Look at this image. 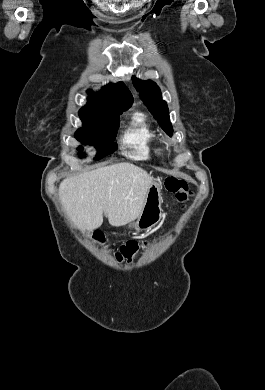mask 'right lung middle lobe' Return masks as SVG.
Returning <instances> with one entry per match:
<instances>
[{
    "mask_svg": "<svg viewBox=\"0 0 265 390\" xmlns=\"http://www.w3.org/2000/svg\"><path fill=\"white\" fill-rule=\"evenodd\" d=\"M83 127L79 128L75 137L77 140L94 145L97 148L96 160H99L117 150L114 143L117 129L119 128V117L109 116L104 113L81 110L79 111ZM83 150L80 146L78 151ZM79 156H82L80 153Z\"/></svg>",
    "mask_w": 265,
    "mask_h": 390,
    "instance_id": "1",
    "label": "right lung middle lobe"
}]
</instances>
